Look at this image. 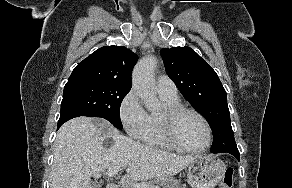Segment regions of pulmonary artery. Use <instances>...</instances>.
Returning a JSON list of instances; mask_svg holds the SVG:
<instances>
[{
  "mask_svg": "<svg viewBox=\"0 0 292 188\" xmlns=\"http://www.w3.org/2000/svg\"><path fill=\"white\" fill-rule=\"evenodd\" d=\"M157 91L160 95L175 98L178 97L177 87L172 79L167 76H160L157 79Z\"/></svg>",
  "mask_w": 292,
  "mask_h": 188,
  "instance_id": "pulmonary-artery-1",
  "label": "pulmonary artery"
}]
</instances>
